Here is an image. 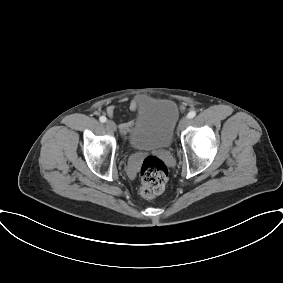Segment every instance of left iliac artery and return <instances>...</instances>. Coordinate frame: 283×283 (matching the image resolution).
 Here are the masks:
<instances>
[{
    "label": "left iliac artery",
    "mask_w": 283,
    "mask_h": 283,
    "mask_svg": "<svg viewBox=\"0 0 283 283\" xmlns=\"http://www.w3.org/2000/svg\"><path fill=\"white\" fill-rule=\"evenodd\" d=\"M196 116V112L195 111H190L188 114H187V118L189 119H192Z\"/></svg>",
    "instance_id": "44dca946"
}]
</instances>
